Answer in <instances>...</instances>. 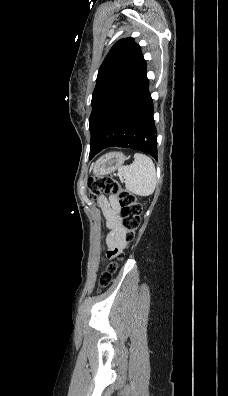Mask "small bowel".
<instances>
[{
  "instance_id": "1",
  "label": "small bowel",
  "mask_w": 228,
  "mask_h": 396,
  "mask_svg": "<svg viewBox=\"0 0 228 396\" xmlns=\"http://www.w3.org/2000/svg\"><path fill=\"white\" fill-rule=\"evenodd\" d=\"M102 209L106 218V225L109 233L106 238V244L110 249L120 250L125 243V232L119 222V206L114 197L109 201L101 199Z\"/></svg>"
}]
</instances>
